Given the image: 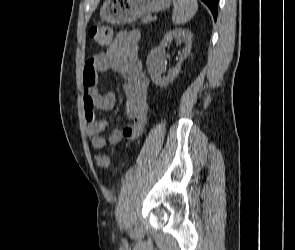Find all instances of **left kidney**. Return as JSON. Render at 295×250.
Here are the masks:
<instances>
[{"instance_id": "1", "label": "left kidney", "mask_w": 295, "mask_h": 250, "mask_svg": "<svg viewBox=\"0 0 295 250\" xmlns=\"http://www.w3.org/2000/svg\"><path fill=\"white\" fill-rule=\"evenodd\" d=\"M192 37L193 35L189 30L175 28L168 31L162 39L160 45L149 53L146 64L151 79L157 86H167L177 77L180 71V65H178L177 67L171 69L166 77H162V74L166 71L165 48L174 38L182 40L185 44V48L180 54V62H182L187 58L191 51Z\"/></svg>"}]
</instances>
